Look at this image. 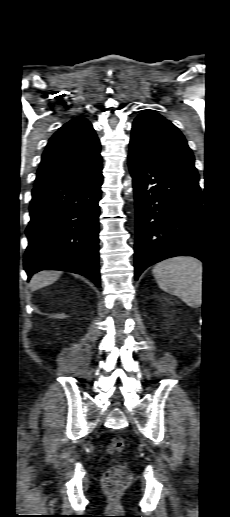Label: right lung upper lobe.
Segmentation results:
<instances>
[{
  "mask_svg": "<svg viewBox=\"0 0 230 517\" xmlns=\"http://www.w3.org/2000/svg\"><path fill=\"white\" fill-rule=\"evenodd\" d=\"M100 142L91 123L76 117L50 139L42 155L34 188L68 181L101 165Z\"/></svg>",
  "mask_w": 230,
  "mask_h": 517,
  "instance_id": "cb5924a9",
  "label": "right lung upper lobe"
}]
</instances>
